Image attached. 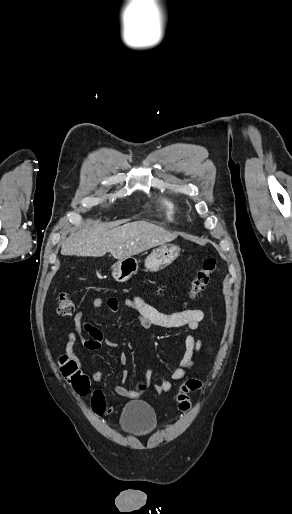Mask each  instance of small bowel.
<instances>
[{"label": "small bowel", "mask_w": 292, "mask_h": 514, "mask_svg": "<svg viewBox=\"0 0 292 514\" xmlns=\"http://www.w3.org/2000/svg\"><path fill=\"white\" fill-rule=\"evenodd\" d=\"M124 304L136 314L139 325L149 330L152 327H159L163 329H177L187 328L191 331H197L200 328V323L204 319V312L200 309H189L177 313L165 314L158 311L154 306L144 300L140 294H135L130 298L124 300ZM92 306L96 309L106 306L111 312H116L119 307V300L110 296L106 299L102 297H95L92 300ZM74 331L68 332L66 335L65 353L73 360V365L79 367L82 362L78 360L74 348L78 340L81 341L83 346L88 350H98L102 346L109 349H116L118 343L113 340L104 339L103 333L93 324L85 320L83 312L78 311L74 316ZM89 335V337L87 336ZM202 346V339L195 338L193 335L188 334L185 337V352L181 360L178 362L177 367L170 375L171 380L163 381L155 385L154 390L158 394L166 393L172 388L171 381L183 379L187 372L191 370L195 364L196 354ZM128 355L125 352L120 353L119 362L125 365L128 362ZM154 375V371L149 369L145 376V387H149ZM94 381L102 379V373L94 371L90 374ZM128 373L124 371L120 377V383L115 386V392L118 396L123 398H135L140 395L135 390H130L123 385L127 379ZM108 409L115 413L116 409L113 404L108 406ZM108 412V415H111Z\"/></svg>", "instance_id": "c3829d8e"}]
</instances>
